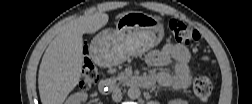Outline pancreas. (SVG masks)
<instances>
[{
    "label": "pancreas",
    "instance_id": "cf45deb5",
    "mask_svg": "<svg viewBox=\"0 0 252 104\" xmlns=\"http://www.w3.org/2000/svg\"><path fill=\"white\" fill-rule=\"evenodd\" d=\"M127 76L123 73H121L118 77L115 78V80H121V79H126Z\"/></svg>",
    "mask_w": 252,
    "mask_h": 104
}]
</instances>
